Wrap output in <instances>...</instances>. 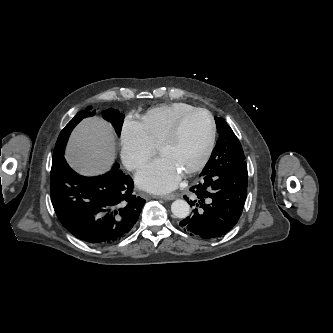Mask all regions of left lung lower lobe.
<instances>
[{
  "mask_svg": "<svg viewBox=\"0 0 333 333\" xmlns=\"http://www.w3.org/2000/svg\"><path fill=\"white\" fill-rule=\"evenodd\" d=\"M199 177L198 183L190 188L194 210L180 226L203 239L221 237L236 225L242 214L247 197V164L202 171Z\"/></svg>",
  "mask_w": 333,
  "mask_h": 333,
  "instance_id": "left-lung-lower-lobe-1",
  "label": "left lung lower lobe"
}]
</instances>
